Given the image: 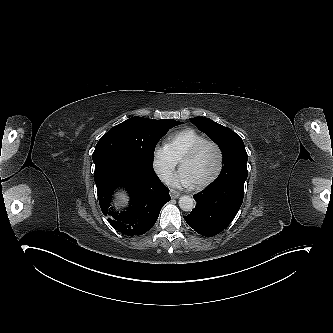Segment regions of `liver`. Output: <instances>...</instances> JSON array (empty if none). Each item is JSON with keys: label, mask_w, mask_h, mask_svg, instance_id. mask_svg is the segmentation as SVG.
Returning <instances> with one entry per match:
<instances>
[{"label": "liver", "mask_w": 333, "mask_h": 333, "mask_svg": "<svg viewBox=\"0 0 333 333\" xmlns=\"http://www.w3.org/2000/svg\"><path fill=\"white\" fill-rule=\"evenodd\" d=\"M128 201V196L124 192L117 193L115 206H126Z\"/></svg>", "instance_id": "liver-1"}]
</instances>
